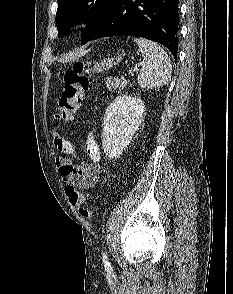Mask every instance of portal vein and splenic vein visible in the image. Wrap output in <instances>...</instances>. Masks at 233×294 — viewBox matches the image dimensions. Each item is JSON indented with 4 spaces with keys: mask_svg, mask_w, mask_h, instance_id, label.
<instances>
[{
    "mask_svg": "<svg viewBox=\"0 0 233 294\" xmlns=\"http://www.w3.org/2000/svg\"><path fill=\"white\" fill-rule=\"evenodd\" d=\"M139 71V66H136L129 74L130 76H134V73H137ZM124 79V76L121 77Z\"/></svg>",
    "mask_w": 233,
    "mask_h": 294,
    "instance_id": "18ae733b",
    "label": "portal vein and splenic vein"
}]
</instances>
